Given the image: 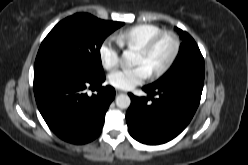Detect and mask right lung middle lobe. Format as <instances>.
I'll use <instances>...</instances> for the list:
<instances>
[{
  "instance_id": "dd1d6c3e",
  "label": "right lung middle lobe",
  "mask_w": 248,
  "mask_h": 165,
  "mask_svg": "<svg viewBox=\"0 0 248 165\" xmlns=\"http://www.w3.org/2000/svg\"><path fill=\"white\" fill-rule=\"evenodd\" d=\"M124 23L77 13L60 21L43 40L34 71L55 64H74L91 77L104 75L100 47Z\"/></svg>"
}]
</instances>
